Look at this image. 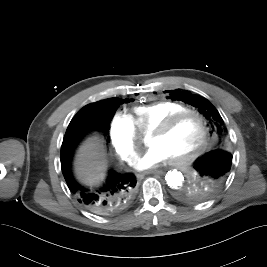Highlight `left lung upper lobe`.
<instances>
[{"label":"left lung upper lobe","mask_w":267,"mask_h":267,"mask_svg":"<svg viewBox=\"0 0 267 267\" xmlns=\"http://www.w3.org/2000/svg\"><path fill=\"white\" fill-rule=\"evenodd\" d=\"M166 92L170 93L168 96L169 99L183 101L197 108L199 113L206 118L211 132H213L217 136L218 142L216 146L204 156L217 151L229 152L226 139L227 130L224 126V121L217 109L206 98L200 95L191 94L188 91H183L180 89L169 90Z\"/></svg>","instance_id":"5c2ea615"}]
</instances>
